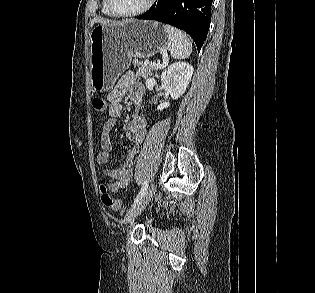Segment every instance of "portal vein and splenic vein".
Masks as SVG:
<instances>
[{
	"label": "portal vein and splenic vein",
	"instance_id": "obj_1",
	"mask_svg": "<svg viewBox=\"0 0 315 293\" xmlns=\"http://www.w3.org/2000/svg\"><path fill=\"white\" fill-rule=\"evenodd\" d=\"M152 64H153V66H155L157 69H161V68H162V66H161L160 63L153 62Z\"/></svg>",
	"mask_w": 315,
	"mask_h": 293
}]
</instances>
